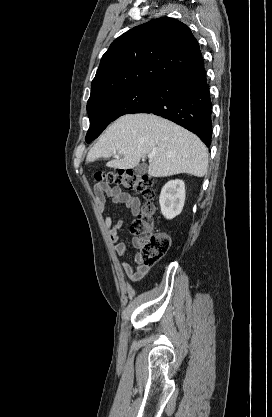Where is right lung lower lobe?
I'll return each mask as SVG.
<instances>
[{
	"mask_svg": "<svg viewBox=\"0 0 272 417\" xmlns=\"http://www.w3.org/2000/svg\"><path fill=\"white\" fill-rule=\"evenodd\" d=\"M211 98L202 56L164 80L155 93L133 113H153L195 133L210 146Z\"/></svg>",
	"mask_w": 272,
	"mask_h": 417,
	"instance_id": "obj_1",
	"label": "right lung lower lobe"
}]
</instances>
